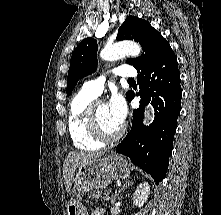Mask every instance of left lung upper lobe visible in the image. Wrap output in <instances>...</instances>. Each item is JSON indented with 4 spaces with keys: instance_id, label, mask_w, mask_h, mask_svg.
Returning a JSON list of instances; mask_svg holds the SVG:
<instances>
[{
    "instance_id": "left-lung-upper-lobe-1",
    "label": "left lung upper lobe",
    "mask_w": 221,
    "mask_h": 215,
    "mask_svg": "<svg viewBox=\"0 0 221 215\" xmlns=\"http://www.w3.org/2000/svg\"><path fill=\"white\" fill-rule=\"evenodd\" d=\"M117 40H134L140 43L143 54L126 63L134 66L137 71L145 69L168 42L155 30L149 22L134 16H128L119 28ZM98 45L95 39L86 38L73 51L67 77V96H69L78 80L93 73L97 68ZM132 91L126 93L127 99Z\"/></svg>"
}]
</instances>
